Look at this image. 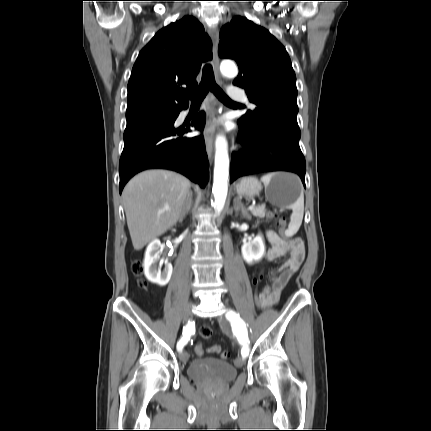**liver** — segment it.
Listing matches in <instances>:
<instances>
[{"label":"liver","instance_id":"1","mask_svg":"<svg viewBox=\"0 0 431 431\" xmlns=\"http://www.w3.org/2000/svg\"><path fill=\"white\" fill-rule=\"evenodd\" d=\"M190 185L186 177L166 170L144 171L128 182L122 199L135 250L178 222Z\"/></svg>","mask_w":431,"mask_h":431}]
</instances>
